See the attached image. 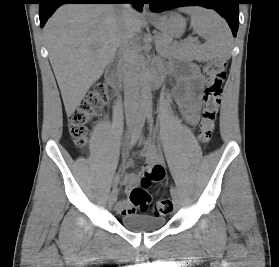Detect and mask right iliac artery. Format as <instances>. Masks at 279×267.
<instances>
[{"label":"right iliac artery","mask_w":279,"mask_h":267,"mask_svg":"<svg viewBox=\"0 0 279 267\" xmlns=\"http://www.w3.org/2000/svg\"><path fill=\"white\" fill-rule=\"evenodd\" d=\"M145 117L146 116L144 114H140L138 116L136 125L134 127V131L131 134V137H130V140H129V143H128V150L131 149L135 145V143L137 142L138 138L140 137V134L142 132V129H143V126H144V123H145ZM119 179H120L119 175H116L114 177L113 188H115L118 185Z\"/></svg>","instance_id":"obj_1"}]
</instances>
